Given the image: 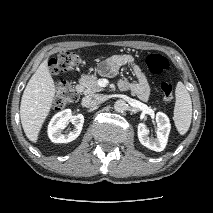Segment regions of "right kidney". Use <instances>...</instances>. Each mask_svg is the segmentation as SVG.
I'll return each instance as SVG.
<instances>
[{
    "instance_id": "ca27d5eb",
    "label": "right kidney",
    "mask_w": 213,
    "mask_h": 213,
    "mask_svg": "<svg viewBox=\"0 0 213 213\" xmlns=\"http://www.w3.org/2000/svg\"><path fill=\"white\" fill-rule=\"evenodd\" d=\"M70 121L75 125V129L68 134H62L67 122ZM84 123L82 114L72 115L70 109L55 114L48 125V136L54 143H68L75 140L81 133Z\"/></svg>"
}]
</instances>
